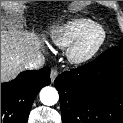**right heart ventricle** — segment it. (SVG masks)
<instances>
[{
	"label": "right heart ventricle",
	"mask_w": 123,
	"mask_h": 123,
	"mask_svg": "<svg viewBox=\"0 0 123 123\" xmlns=\"http://www.w3.org/2000/svg\"><path fill=\"white\" fill-rule=\"evenodd\" d=\"M93 24H95L93 20L84 17L71 18L54 24L48 30V41L60 49H67L82 32Z\"/></svg>",
	"instance_id": "obj_1"
}]
</instances>
